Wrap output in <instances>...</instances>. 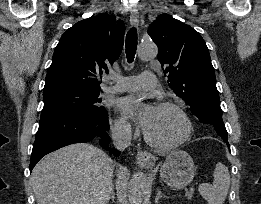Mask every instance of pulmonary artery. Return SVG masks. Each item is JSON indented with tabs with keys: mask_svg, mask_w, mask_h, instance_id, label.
<instances>
[{
	"mask_svg": "<svg viewBox=\"0 0 261 204\" xmlns=\"http://www.w3.org/2000/svg\"><path fill=\"white\" fill-rule=\"evenodd\" d=\"M115 84L113 86L106 87L108 92H127L135 91L139 89H151L156 86V75L152 71H144L138 76H126L121 78H114Z\"/></svg>",
	"mask_w": 261,
	"mask_h": 204,
	"instance_id": "1",
	"label": "pulmonary artery"
}]
</instances>
